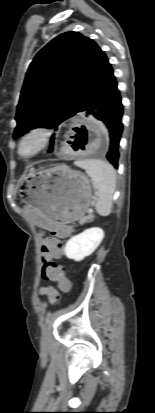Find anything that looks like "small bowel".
<instances>
[{
	"label": "small bowel",
	"instance_id": "small-bowel-1",
	"mask_svg": "<svg viewBox=\"0 0 155 413\" xmlns=\"http://www.w3.org/2000/svg\"><path fill=\"white\" fill-rule=\"evenodd\" d=\"M22 212L27 215L28 218H34V225L41 231H53L54 235L58 237H67L71 234L72 230L69 226L60 225L59 222H47L44 214H38L34 205H24ZM51 291H54L51 287H42L41 294L48 295Z\"/></svg>",
	"mask_w": 155,
	"mask_h": 413
}]
</instances>
